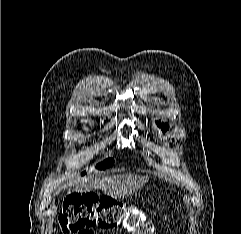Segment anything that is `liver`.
Listing matches in <instances>:
<instances>
[{
    "mask_svg": "<svg viewBox=\"0 0 241 234\" xmlns=\"http://www.w3.org/2000/svg\"><path fill=\"white\" fill-rule=\"evenodd\" d=\"M148 179V177L134 174L113 175L82 183L76 187L75 191L89 192L92 189H101L112 198H124L143 187L148 182Z\"/></svg>",
    "mask_w": 241,
    "mask_h": 234,
    "instance_id": "liver-1",
    "label": "liver"
}]
</instances>
